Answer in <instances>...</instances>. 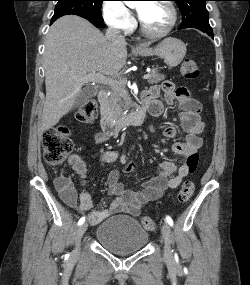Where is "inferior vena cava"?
I'll list each match as a JSON object with an SVG mask.
<instances>
[{
	"label": "inferior vena cava",
	"instance_id": "inferior-vena-cava-1",
	"mask_svg": "<svg viewBox=\"0 0 250 285\" xmlns=\"http://www.w3.org/2000/svg\"><path fill=\"white\" fill-rule=\"evenodd\" d=\"M106 37L110 40L125 42V38L120 34V31L112 26L107 29Z\"/></svg>",
	"mask_w": 250,
	"mask_h": 285
}]
</instances>
